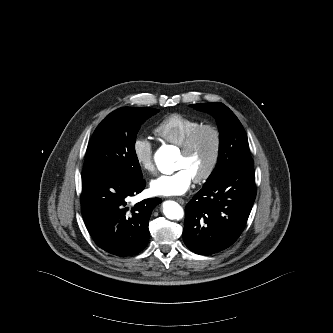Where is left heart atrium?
Instances as JSON below:
<instances>
[{
	"label": "left heart atrium",
	"mask_w": 333,
	"mask_h": 333,
	"mask_svg": "<svg viewBox=\"0 0 333 333\" xmlns=\"http://www.w3.org/2000/svg\"><path fill=\"white\" fill-rule=\"evenodd\" d=\"M193 181L190 173L180 168L172 174L161 175L150 183V190L158 196H179L188 191Z\"/></svg>",
	"instance_id": "1"
}]
</instances>
